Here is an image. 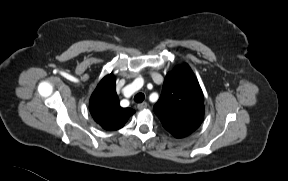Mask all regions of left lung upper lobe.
<instances>
[{
    "label": "left lung upper lobe",
    "instance_id": "5c2ea615",
    "mask_svg": "<svg viewBox=\"0 0 288 181\" xmlns=\"http://www.w3.org/2000/svg\"><path fill=\"white\" fill-rule=\"evenodd\" d=\"M153 109L163 127L176 138L186 137L200 126L204 117L203 93L187 64L167 74Z\"/></svg>",
    "mask_w": 288,
    "mask_h": 181
}]
</instances>
